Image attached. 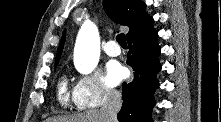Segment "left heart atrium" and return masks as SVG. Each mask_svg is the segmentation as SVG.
Wrapping results in <instances>:
<instances>
[{
  "mask_svg": "<svg viewBox=\"0 0 221 122\" xmlns=\"http://www.w3.org/2000/svg\"><path fill=\"white\" fill-rule=\"evenodd\" d=\"M125 68L118 62L111 61L106 66V81L109 85H117L125 76Z\"/></svg>",
  "mask_w": 221,
  "mask_h": 122,
  "instance_id": "obj_1",
  "label": "left heart atrium"
}]
</instances>
